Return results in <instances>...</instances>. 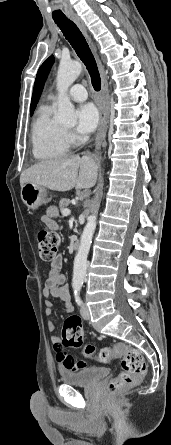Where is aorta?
<instances>
[{"label": "aorta", "mask_w": 171, "mask_h": 445, "mask_svg": "<svg viewBox=\"0 0 171 445\" xmlns=\"http://www.w3.org/2000/svg\"><path fill=\"white\" fill-rule=\"evenodd\" d=\"M82 71V64L79 61L61 62L57 72V91H58V111L56 121L59 123H76V115L73 104L71 103L67 90L74 83ZM96 229V216L88 218V222L83 230L80 240V246L74 259L73 283L81 285L86 277L88 268L87 257L90 250L92 237Z\"/></svg>", "instance_id": "obj_1"}]
</instances>
